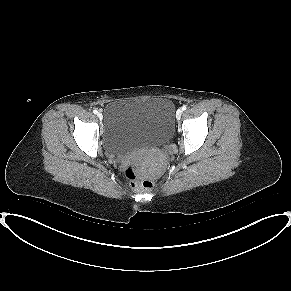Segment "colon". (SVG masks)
<instances>
[{"label": "colon", "mask_w": 291, "mask_h": 291, "mask_svg": "<svg viewBox=\"0 0 291 291\" xmlns=\"http://www.w3.org/2000/svg\"><path fill=\"white\" fill-rule=\"evenodd\" d=\"M125 173L131 181V186L135 189L149 190L153 186V181L149 177L140 175L136 171V163L134 160L127 163Z\"/></svg>", "instance_id": "obj_1"}]
</instances>
